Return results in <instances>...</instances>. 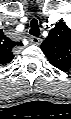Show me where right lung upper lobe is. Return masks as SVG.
<instances>
[{
  "label": "right lung upper lobe",
  "instance_id": "right-lung-upper-lobe-1",
  "mask_svg": "<svg viewBox=\"0 0 71 119\" xmlns=\"http://www.w3.org/2000/svg\"><path fill=\"white\" fill-rule=\"evenodd\" d=\"M2 32V31H1ZM21 42L12 41L3 33H0V65L10 63L14 55L12 52L13 47L20 45Z\"/></svg>",
  "mask_w": 71,
  "mask_h": 119
}]
</instances>
